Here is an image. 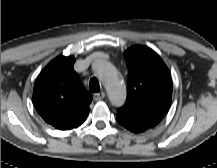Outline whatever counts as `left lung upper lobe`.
<instances>
[{
  "label": "left lung upper lobe",
  "instance_id": "obj_1",
  "mask_svg": "<svg viewBox=\"0 0 217 168\" xmlns=\"http://www.w3.org/2000/svg\"><path fill=\"white\" fill-rule=\"evenodd\" d=\"M124 58L128 67L127 99L117 110L116 119L141 133L158 125L168 112L172 79L160 56L146 46L130 47Z\"/></svg>",
  "mask_w": 217,
  "mask_h": 168
}]
</instances>
